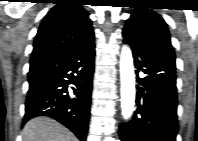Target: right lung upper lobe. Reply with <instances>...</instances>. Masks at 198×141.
Here are the masks:
<instances>
[{"label":"right lung upper lobe","mask_w":198,"mask_h":141,"mask_svg":"<svg viewBox=\"0 0 198 141\" xmlns=\"http://www.w3.org/2000/svg\"><path fill=\"white\" fill-rule=\"evenodd\" d=\"M91 32V20L81 4L60 0L39 27L30 62L68 48Z\"/></svg>","instance_id":"obj_1"}]
</instances>
